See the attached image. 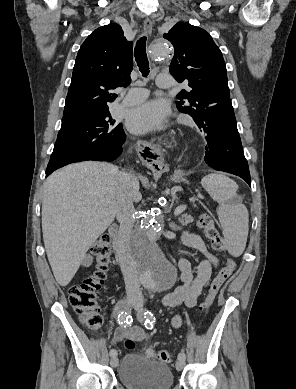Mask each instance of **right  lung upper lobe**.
I'll return each instance as SVG.
<instances>
[{"label": "right lung upper lobe", "mask_w": 296, "mask_h": 389, "mask_svg": "<svg viewBox=\"0 0 296 389\" xmlns=\"http://www.w3.org/2000/svg\"><path fill=\"white\" fill-rule=\"evenodd\" d=\"M133 43L118 24L96 29L81 45L65 102L63 117L108 109L113 90L130 84Z\"/></svg>", "instance_id": "1"}]
</instances>
